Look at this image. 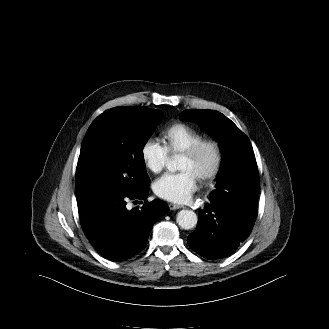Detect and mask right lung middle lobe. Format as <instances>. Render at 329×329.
Returning a JSON list of instances; mask_svg holds the SVG:
<instances>
[{
    "label": "right lung middle lobe",
    "mask_w": 329,
    "mask_h": 329,
    "mask_svg": "<svg viewBox=\"0 0 329 329\" xmlns=\"http://www.w3.org/2000/svg\"><path fill=\"white\" fill-rule=\"evenodd\" d=\"M160 110L115 107L98 116L82 143L76 169V193L110 187L138 193L149 185L143 147L161 122Z\"/></svg>",
    "instance_id": "right-lung-middle-lobe-1"
}]
</instances>
